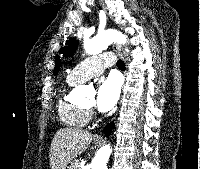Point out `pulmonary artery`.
Listing matches in <instances>:
<instances>
[{
  "label": "pulmonary artery",
  "mask_w": 200,
  "mask_h": 169,
  "mask_svg": "<svg viewBox=\"0 0 200 169\" xmlns=\"http://www.w3.org/2000/svg\"><path fill=\"white\" fill-rule=\"evenodd\" d=\"M109 54L95 55L78 63L69 73L68 79L79 83L99 76L105 68L113 65Z\"/></svg>",
  "instance_id": "1"
}]
</instances>
